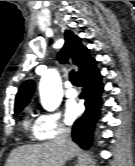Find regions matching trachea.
<instances>
[{
    "label": "trachea",
    "instance_id": "obj_1",
    "mask_svg": "<svg viewBox=\"0 0 135 166\" xmlns=\"http://www.w3.org/2000/svg\"><path fill=\"white\" fill-rule=\"evenodd\" d=\"M69 78H70V81L73 85H75V86L80 85L79 79H78L75 71H73V70L70 71Z\"/></svg>",
    "mask_w": 135,
    "mask_h": 166
}]
</instances>
